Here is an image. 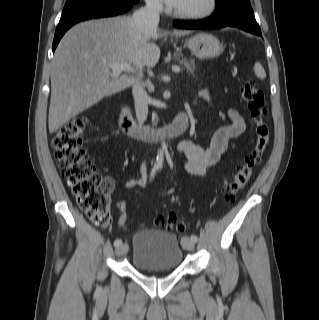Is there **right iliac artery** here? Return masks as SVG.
Instances as JSON below:
<instances>
[{"instance_id": "right-iliac-artery-1", "label": "right iliac artery", "mask_w": 319, "mask_h": 320, "mask_svg": "<svg viewBox=\"0 0 319 320\" xmlns=\"http://www.w3.org/2000/svg\"><path fill=\"white\" fill-rule=\"evenodd\" d=\"M155 172H156V168H153L152 172H151V177H154ZM121 244H122V240L121 239H116L114 241V246L115 247H119Z\"/></svg>"}]
</instances>
